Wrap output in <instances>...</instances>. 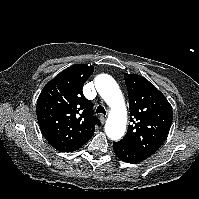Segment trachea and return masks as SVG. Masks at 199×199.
I'll list each match as a JSON object with an SVG mask.
<instances>
[{"label":"trachea","mask_w":199,"mask_h":199,"mask_svg":"<svg viewBox=\"0 0 199 199\" xmlns=\"http://www.w3.org/2000/svg\"><path fill=\"white\" fill-rule=\"evenodd\" d=\"M96 113L97 114H106V111H105V109H104V107L103 106H101V105H99L98 107H97V109H96Z\"/></svg>","instance_id":"1"}]
</instances>
